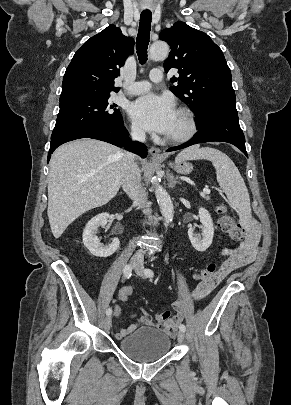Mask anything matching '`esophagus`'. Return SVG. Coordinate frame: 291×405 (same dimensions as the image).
Instances as JSON below:
<instances>
[{"label":"esophagus","mask_w":291,"mask_h":405,"mask_svg":"<svg viewBox=\"0 0 291 405\" xmlns=\"http://www.w3.org/2000/svg\"><path fill=\"white\" fill-rule=\"evenodd\" d=\"M149 153L152 156L153 159H160L161 156V150L157 147H151L149 149Z\"/></svg>","instance_id":"esophagus-1"}]
</instances>
